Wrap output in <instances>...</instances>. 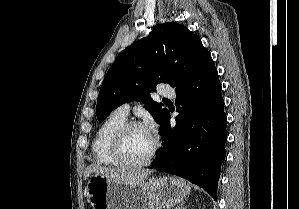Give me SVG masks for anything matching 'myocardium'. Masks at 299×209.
<instances>
[{"label": "myocardium", "mask_w": 299, "mask_h": 209, "mask_svg": "<svg viewBox=\"0 0 299 209\" xmlns=\"http://www.w3.org/2000/svg\"><path fill=\"white\" fill-rule=\"evenodd\" d=\"M133 128H144L148 130L151 133L153 139V146L148 156L143 161L136 162V163L127 162L122 156V146H123L124 138L126 134ZM159 147H160V141L158 137L153 133L151 128L146 123L137 120H130V121H126L116 131L112 140L111 154L117 166L122 168H128V169H138V168L146 167L152 162V160L155 158L159 150Z\"/></svg>", "instance_id": "obj_1"}]
</instances>
